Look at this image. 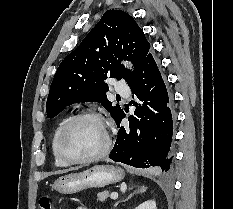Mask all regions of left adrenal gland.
<instances>
[{
    "instance_id": "left-adrenal-gland-1",
    "label": "left adrenal gland",
    "mask_w": 233,
    "mask_h": 209,
    "mask_svg": "<svg viewBox=\"0 0 233 209\" xmlns=\"http://www.w3.org/2000/svg\"><path fill=\"white\" fill-rule=\"evenodd\" d=\"M135 193H136V191L134 193L130 194L124 201L129 200L133 196V194H135ZM117 205H118V202L115 204V206H117Z\"/></svg>"
}]
</instances>
